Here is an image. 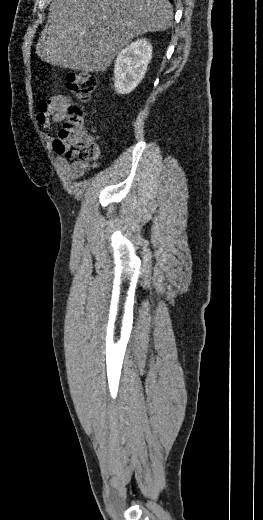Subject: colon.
<instances>
[{
	"label": "colon",
	"instance_id": "5ec220e1",
	"mask_svg": "<svg viewBox=\"0 0 263 520\" xmlns=\"http://www.w3.org/2000/svg\"><path fill=\"white\" fill-rule=\"evenodd\" d=\"M66 85L81 102L87 101L96 87L95 78L88 72H70L66 76ZM84 110L80 104L68 107L67 120L59 130L54 148L59 154L81 162L95 160L99 149L96 142L83 129Z\"/></svg>",
	"mask_w": 263,
	"mask_h": 520
}]
</instances>
